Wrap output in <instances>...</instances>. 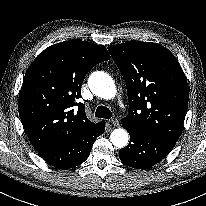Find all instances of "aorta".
I'll return each mask as SVG.
<instances>
[{"label":"aorta","mask_w":206,"mask_h":206,"mask_svg":"<svg viewBox=\"0 0 206 206\" xmlns=\"http://www.w3.org/2000/svg\"><path fill=\"white\" fill-rule=\"evenodd\" d=\"M91 91L103 99H112L116 95L113 79L107 73L94 72L88 80ZM129 135L125 129L118 128L111 132L110 141L117 148H124L128 144Z\"/></svg>","instance_id":"aorta-1"}]
</instances>
